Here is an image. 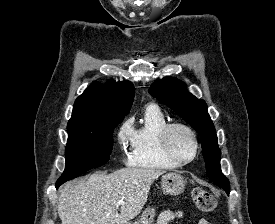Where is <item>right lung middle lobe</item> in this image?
<instances>
[{
  "label": "right lung middle lobe",
  "mask_w": 275,
  "mask_h": 224,
  "mask_svg": "<svg viewBox=\"0 0 275 224\" xmlns=\"http://www.w3.org/2000/svg\"><path fill=\"white\" fill-rule=\"evenodd\" d=\"M120 121L67 126L66 167L56 184L106 163L112 152L113 129Z\"/></svg>",
  "instance_id": "1"
}]
</instances>
